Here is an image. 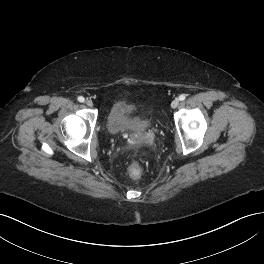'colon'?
Returning <instances> with one entry per match:
<instances>
[{
  "instance_id": "1",
  "label": "colon",
  "mask_w": 264,
  "mask_h": 264,
  "mask_svg": "<svg viewBox=\"0 0 264 264\" xmlns=\"http://www.w3.org/2000/svg\"><path fill=\"white\" fill-rule=\"evenodd\" d=\"M142 173V167L136 162L132 163L128 168V174L133 179L140 178L142 176Z\"/></svg>"
}]
</instances>
